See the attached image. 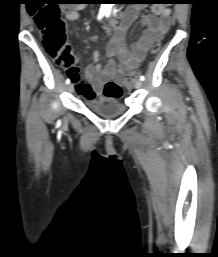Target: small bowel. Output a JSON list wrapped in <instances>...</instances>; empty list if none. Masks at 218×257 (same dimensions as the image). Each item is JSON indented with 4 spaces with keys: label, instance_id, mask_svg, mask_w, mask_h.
<instances>
[{
    "label": "small bowel",
    "instance_id": "c3829d8e",
    "mask_svg": "<svg viewBox=\"0 0 218 257\" xmlns=\"http://www.w3.org/2000/svg\"><path fill=\"white\" fill-rule=\"evenodd\" d=\"M80 9L81 7L76 5L65 7V18L69 21L78 20ZM139 12V6H130L118 19L114 18L108 22L106 29L113 28L114 33L107 47V54L110 57L107 65L98 63L99 53L95 51L92 56L93 63L89 64L82 74L71 76L76 92L85 100L101 96V89H104L102 83L108 79H113L123 86L125 76L140 65L153 44L159 42L168 32L171 26V9L163 5L155 6L153 13L142 16L140 24L144 27V32L131 48L128 47L124 36L138 18ZM114 56H118L119 64L113 60Z\"/></svg>",
    "mask_w": 218,
    "mask_h": 257
}]
</instances>
